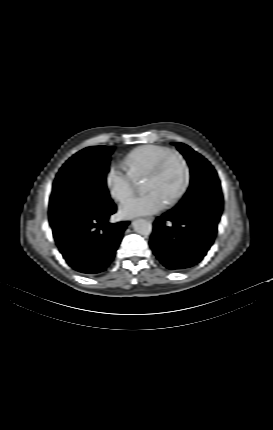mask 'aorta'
I'll return each instance as SVG.
<instances>
[{"instance_id": "aorta-1", "label": "aorta", "mask_w": 273, "mask_h": 430, "mask_svg": "<svg viewBox=\"0 0 273 430\" xmlns=\"http://www.w3.org/2000/svg\"><path fill=\"white\" fill-rule=\"evenodd\" d=\"M134 231L140 235H149L152 231V225L144 219H136L132 222Z\"/></svg>"}]
</instances>
